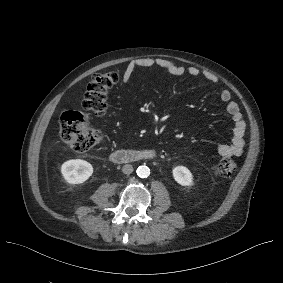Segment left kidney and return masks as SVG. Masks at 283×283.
Segmentation results:
<instances>
[{"label":"left kidney","instance_id":"obj_1","mask_svg":"<svg viewBox=\"0 0 283 283\" xmlns=\"http://www.w3.org/2000/svg\"><path fill=\"white\" fill-rule=\"evenodd\" d=\"M173 178L182 186H191L193 184V175L185 166H176L172 170Z\"/></svg>","mask_w":283,"mask_h":283}]
</instances>
